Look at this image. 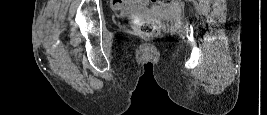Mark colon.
Returning a JSON list of instances; mask_svg holds the SVG:
<instances>
[{"label":"colon","instance_id":"1","mask_svg":"<svg viewBox=\"0 0 267 115\" xmlns=\"http://www.w3.org/2000/svg\"><path fill=\"white\" fill-rule=\"evenodd\" d=\"M152 3L156 4H168L172 2V0H151ZM135 32L138 36L142 38H153L160 33V29L155 24L144 22L141 23L136 29Z\"/></svg>","mask_w":267,"mask_h":115}]
</instances>
